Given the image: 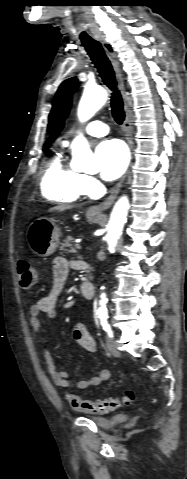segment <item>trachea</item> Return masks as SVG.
Wrapping results in <instances>:
<instances>
[{
  "mask_svg": "<svg viewBox=\"0 0 187 479\" xmlns=\"http://www.w3.org/2000/svg\"><path fill=\"white\" fill-rule=\"evenodd\" d=\"M92 62L97 68L100 77L105 85L112 91L111 93V110L114 120L121 124L125 119V112L123 109V101L120 91L117 88L115 73L112 65L106 56L101 44L95 40L82 41Z\"/></svg>",
  "mask_w": 187,
  "mask_h": 479,
  "instance_id": "3493384b",
  "label": "trachea"
}]
</instances>
